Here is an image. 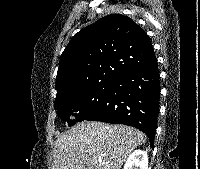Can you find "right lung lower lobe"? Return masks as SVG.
<instances>
[{"label": "right lung lower lobe", "instance_id": "98d812e1", "mask_svg": "<svg viewBox=\"0 0 200 169\" xmlns=\"http://www.w3.org/2000/svg\"><path fill=\"white\" fill-rule=\"evenodd\" d=\"M157 60L115 81L103 104L85 120L125 124L143 131L154 147L160 99Z\"/></svg>", "mask_w": 200, "mask_h": 169}]
</instances>
